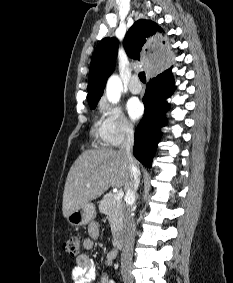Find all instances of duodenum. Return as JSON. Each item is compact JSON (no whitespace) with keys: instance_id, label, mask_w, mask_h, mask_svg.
I'll return each mask as SVG.
<instances>
[{"instance_id":"1","label":"duodenum","mask_w":233,"mask_h":283,"mask_svg":"<svg viewBox=\"0 0 233 283\" xmlns=\"http://www.w3.org/2000/svg\"><path fill=\"white\" fill-rule=\"evenodd\" d=\"M123 240H124L123 234L118 233L115 238V247L117 250L121 249L123 245Z\"/></svg>"}]
</instances>
